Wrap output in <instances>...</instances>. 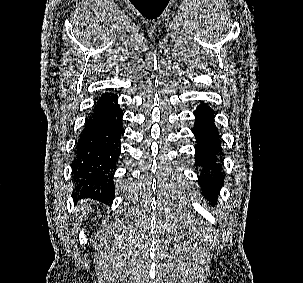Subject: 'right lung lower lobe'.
I'll return each instance as SVG.
<instances>
[{
	"instance_id": "obj_1",
	"label": "right lung lower lobe",
	"mask_w": 303,
	"mask_h": 283,
	"mask_svg": "<svg viewBox=\"0 0 303 283\" xmlns=\"http://www.w3.org/2000/svg\"><path fill=\"white\" fill-rule=\"evenodd\" d=\"M122 117L117 95L102 94L77 142L73 166L75 200L91 198L112 203L115 189L112 171L121 152L118 143L124 134Z\"/></svg>"
}]
</instances>
